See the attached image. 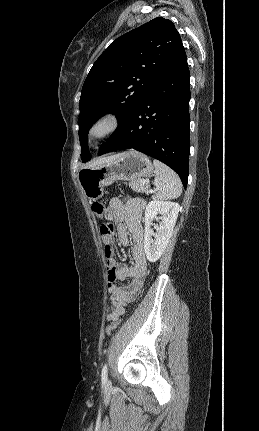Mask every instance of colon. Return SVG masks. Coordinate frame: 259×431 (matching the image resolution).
I'll list each match as a JSON object with an SVG mask.
<instances>
[{
  "label": "colon",
  "instance_id": "colon-1",
  "mask_svg": "<svg viewBox=\"0 0 259 431\" xmlns=\"http://www.w3.org/2000/svg\"><path fill=\"white\" fill-rule=\"evenodd\" d=\"M92 211L97 217H103L104 214V205L101 202H94L92 204ZM114 234V225L110 222L102 223L100 226V236L105 243V251H108V242L111 240ZM119 320L116 319L112 321L106 328V333L111 335L118 327Z\"/></svg>",
  "mask_w": 259,
  "mask_h": 431
}]
</instances>
